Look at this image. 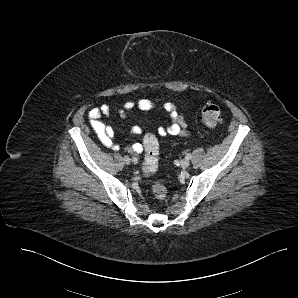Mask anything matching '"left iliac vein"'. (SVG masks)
I'll return each instance as SVG.
<instances>
[{
	"instance_id": "obj_1",
	"label": "left iliac vein",
	"mask_w": 298,
	"mask_h": 298,
	"mask_svg": "<svg viewBox=\"0 0 298 298\" xmlns=\"http://www.w3.org/2000/svg\"><path fill=\"white\" fill-rule=\"evenodd\" d=\"M180 165L182 168L185 169V168L189 167L190 161L188 159H183V160H181Z\"/></svg>"
}]
</instances>
